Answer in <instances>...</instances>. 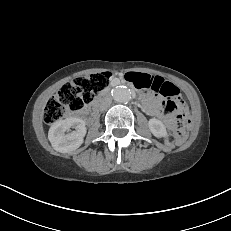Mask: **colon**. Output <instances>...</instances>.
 <instances>
[{"label":"colon","instance_id":"obj_1","mask_svg":"<svg viewBox=\"0 0 231 231\" xmlns=\"http://www.w3.org/2000/svg\"><path fill=\"white\" fill-rule=\"evenodd\" d=\"M139 79L138 76H135ZM110 72H100L84 77L75 78L73 81L62 85L53 98L48 102L44 111V120L52 124L60 120L68 112H76L93 102L109 85ZM177 89L171 85L162 86L158 94L172 99L177 96ZM173 102L170 108L173 106ZM188 117L184 110L178 116L177 124L172 133L167 136V143H180L187 137Z\"/></svg>","mask_w":231,"mask_h":231}]
</instances>
